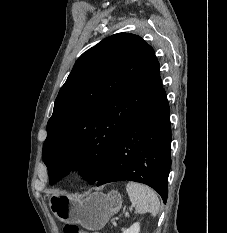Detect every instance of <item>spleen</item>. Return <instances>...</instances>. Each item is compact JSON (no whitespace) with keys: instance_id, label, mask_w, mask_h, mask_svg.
<instances>
[{"instance_id":"1","label":"spleen","mask_w":227,"mask_h":233,"mask_svg":"<svg viewBox=\"0 0 227 233\" xmlns=\"http://www.w3.org/2000/svg\"><path fill=\"white\" fill-rule=\"evenodd\" d=\"M126 191L130 201L135 205L137 214L149 212L152 216H156L160 210V201L156 193L143 184L128 182Z\"/></svg>"}]
</instances>
